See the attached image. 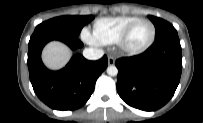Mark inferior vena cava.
Returning <instances> with one entry per match:
<instances>
[{"label":"inferior vena cava","instance_id":"inferior-vena-cava-1","mask_svg":"<svg viewBox=\"0 0 203 123\" xmlns=\"http://www.w3.org/2000/svg\"><path fill=\"white\" fill-rule=\"evenodd\" d=\"M104 51L97 48H86L83 50V56L88 60H98L102 58Z\"/></svg>","mask_w":203,"mask_h":123}]
</instances>
